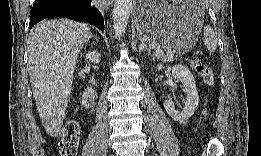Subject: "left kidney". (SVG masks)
<instances>
[{"instance_id": "left-kidney-1", "label": "left kidney", "mask_w": 261, "mask_h": 156, "mask_svg": "<svg viewBox=\"0 0 261 156\" xmlns=\"http://www.w3.org/2000/svg\"><path fill=\"white\" fill-rule=\"evenodd\" d=\"M156 68L161 70L163 65L158 64ZM172 75L177 82L183 83V91L187 95L186 102L183 105V109L180 110L175 107L173 101L170 98H167L164 101V108L174 121L183 123L189 120L190 117L194 114L199 103V95L194 77L186 66L181 64L174 65L172 67Z\"/></svg>"}]
</instances>
